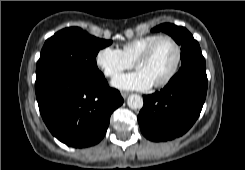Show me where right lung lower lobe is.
Returning <instances> with one entry per match:
<instances>
[{
  "instance_id": "98d812e1",
  "label": "right lung lower lobe",
  "mask_w": 245,
  "mask_h": 170,
  "mask_svg": "<svg viewBox=\"0 0 245 170\" xmlns=\"http://www.w3.org/2000/svg\"><path fill=\"white\" fill-rule=\"evenodd\" d=\"M50 132L68 146L84 148L104 137L112 112L123 104L101 72L66 74L35 88Z\"/></svg>"
}]
</instances>
